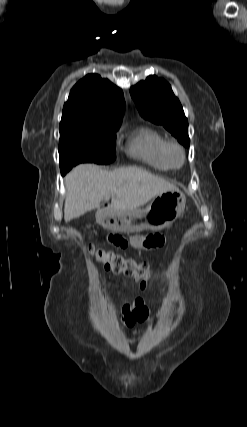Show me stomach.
<instances>
[{
  "mask_svg": "<svg viewBox=\"0 0 247 427\" xmlns=\"http://www.w3.org/2000/svg\"><path fill=\"white\" fill-rule=\"evenodd\" d=\"M185 204V195L176 188L156 196L145 209H100L96 213V220L104 228L116 232L159 231L169 227L180 217Z\"/></svg>",
  "mask_w": 247,
  "mask_h": 427,
  "instance_id": "obj_1",
  "label": "stomach"
}]
</instances>
